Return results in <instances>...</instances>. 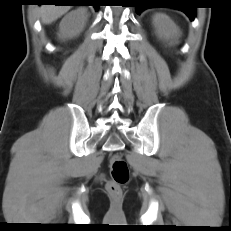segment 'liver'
Returning a JSON list of instances; mask_svg holds the SVG:
<instances>
[{
  "instance_id": "liver-1",
  "label": "liver",
  "mask_w": 231,
  "mask_h": 231,
  "mask_svg": "<svg viewBox=\"0 0 231 231\" xmlns=\"http://www.w3.org/2000/svg\"><path fill=\"white\" fill-rule=\"evenodd\" d=\"M71 9L69 5H42L38 12L45 24H50L63 16Z\"/></svg>"
}]
</instances>
